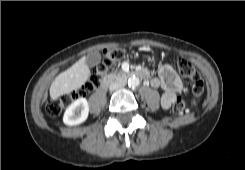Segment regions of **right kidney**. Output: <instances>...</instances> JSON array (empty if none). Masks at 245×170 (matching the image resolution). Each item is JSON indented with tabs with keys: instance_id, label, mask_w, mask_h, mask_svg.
<instances>
[{
	"instance_id": "right-kidney-1",
	"label": "right kidney",
	"mask_w": 245,
	"mask_h": 170,
	"mask_svg": "<svg viewBox=\"0 0 245 170\" xmlns=\"http://www.w3.org/2000/svg\"><path fill=\"white\" fill-rule=\"evenodd\" d=\"M89 114V105L85 98H79L71 103L63 115V122L73 126L83 123Z\"/></svg>"
}]
</instances>
